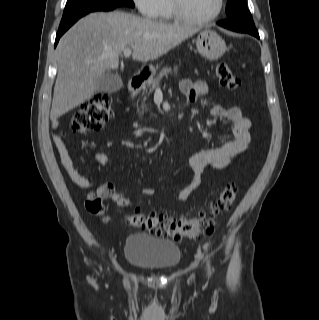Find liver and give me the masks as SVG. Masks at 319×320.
<instances>
[{"mask_svg": "<svg viewBox=\"0 0 319 320\" xmlns=\"http://www.w3.org/2000/svg\"><path fill=\"white\" fill-rule=\"evenodd\" d=\"M198 31L129 13H91L60 39L56 48L58 74L50 118L52 121L91 98L96 82L119 66L125 49L132 59L156 60Z\"/></svg>", "mask_w": 319, "mask_h": 320, "instance_id": "6515ba94", "label": "liver"}]
</instances>
